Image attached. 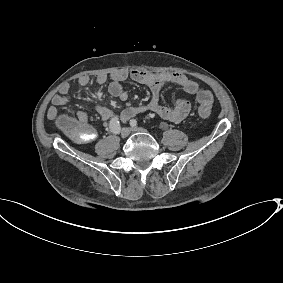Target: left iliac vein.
I'll use <instances>...</instances> for the list:
<instances>
[{
    "label": "left iliac vein",
    "instance_id": "1",
    "mask_svg": "<svg viewBox=\"0 0 283 283\" xmlns=\"http://www.w3.org/2000/svg\"><path fill=\"white\" fill-rule=\"evenodd\" d=\"M131 131H133V132H146L145 129H143L141 127H137V126H132Z\"/></svg>",
    "mask_w": 283,
    "mask_h": 283
}]
</instances>
